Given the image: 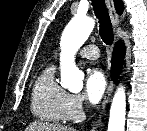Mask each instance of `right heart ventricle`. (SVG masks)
<instances>
[{"mask_svg":"<svg viewBox=\"0 0 147 131\" xmlns=\"http://www.w3.org/2000/svg\"><path fill=\"white\" fill-rule=\"evenodd\" d=\"M67 92L55 79V68H45L35 81L32 90L31 111L43 121L59 123L65 121L63 114Z\"/></svg>","mask_w":147,"mask_h":131,"instance_id":"obj_1","label":"right heart ventricle"}]
</instances>
